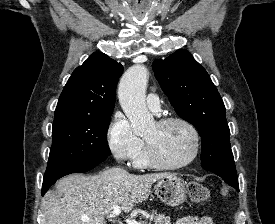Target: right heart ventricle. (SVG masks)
Wrapping results in <instances>:
<instances>
[{
  "mask_svg": "<svg viewBox=\"0 0 275 224\" xmlns=\"http://www.w3.org/2000/svg\"><path fill=\"white\" fill-rule=\"evenodd\" d=\"M134 164L135 166L140 168H148L151 166L146 158V153L144 149H142L136 156V158L134 159Z\"/></svg>",
  "mask_w": 275,
  "mask_h": 224,
  "instance_id": "obj_1",
  "label": "right heart ventricle"
}]
</instances>
